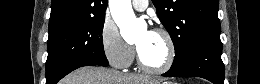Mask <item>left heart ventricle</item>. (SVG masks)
<instances>
[{
	"label": "left heart ventricle",
	"instance_id": "1",
	"mask_svg": "<svg viewBox=\"0 0 260 84\" xmlns=\"http://www.w3.org/2000/svg\"><path fill=\"white\" fill-rule=\"evenodd\" d=\"M143 61L151 67H160L162 66L168 55V47L159 34L143 31L136 43Z\"/></svg>",
	"mask_w": 260,
	"mask_h": 84
}]
</instances>
